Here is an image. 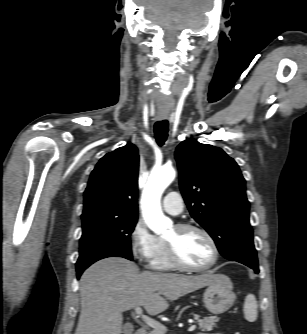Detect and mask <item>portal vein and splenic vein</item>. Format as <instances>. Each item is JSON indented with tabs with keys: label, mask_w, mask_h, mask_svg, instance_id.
<instances>
[{
	"label": "portal vein and splenic vein",
	"mask_w": 307,
	"mask_h": 334,
	"mask_svg": "<svg viewBox=\"0 0 307 334\" xmlns=\"http://www.w3.org/2000/svg\"><path fill=\"white\" fill-rule=\"evenodd\" d=\"M135 313L138 315V316H141L142 320L147 324L149 325L150 327H152L154 330L156 331H160V332H166L167 331V328L159 323L158 321L152 319L151 317L143 314V310L140 306L136 307L135 308ZM196 329V325H192L188 328V331L191 332V331H194Z\"/></svg>",
	"instance_id": "1"
}]
</instances>
